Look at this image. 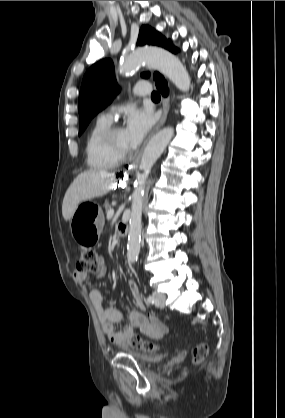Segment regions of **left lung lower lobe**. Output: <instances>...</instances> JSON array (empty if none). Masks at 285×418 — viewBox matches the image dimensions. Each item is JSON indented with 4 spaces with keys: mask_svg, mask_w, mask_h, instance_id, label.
<instances>
[{
    "mask_svg": "<svg viewBox=\"0 0 285 418\" xmlns=\"http://www.w3.org/2000/svg\"><path fill=\"white\" fill-rule=\"evenodd\" d=\"M169 50L173 53H176L178 51V49L176 47H174L173 45L170 46ZM156 86L158 88V90L162 93L163 96H167L168 95V87H167V82L165 81L164 77L159 75L156 79Z\"/></svg>",
    "mask_w": 285,
    "mask_h": 418,
    "instance_id": "1",
    "label": "left lung lower lobe"
}]
</instances>
